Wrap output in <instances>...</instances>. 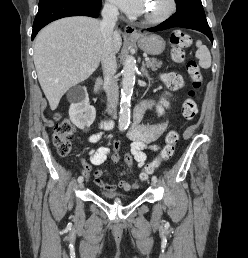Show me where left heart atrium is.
Here are the masks:
<instances>
[{
  "label": "left heart atrium",
  "mask_w": 248,
  "mask_h": 258,
  "mask_svg": "<svg viewBox=\"0 0 248 258\" xmlns=\"http://www.w3.org/2000/svg\"><path fill=\"white\" fill-rule=\"evenodd\" d=\"M124 12L139 16L146 11L149 0H113Z\"/></svg>",
  "instance_id": "obj_1"
}]
</instances>
